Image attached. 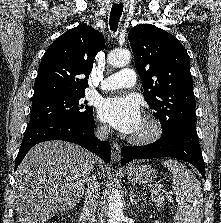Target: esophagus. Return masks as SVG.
<instances>
[{
  "mask_svg": "<svg viewBox=\"0 0 221 223\" xmlns=\"http://www.w3.org/2000/svg\"><path fill=\"white\" fill-rule=\"evenodd\" d=\"M122 0H115L116 3H120ZM111 159L113 162L117 163L121 160V148L117 143H113L111 147Z\"/></svg>",
  "mask_w": 221,
  "mask_h": 223,
  "instance_id": "obj_1",
  "label": "esophagus"
}]
</instances>
